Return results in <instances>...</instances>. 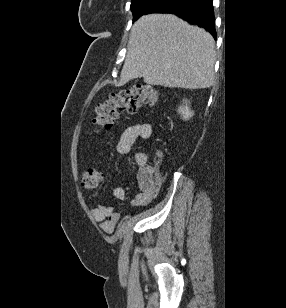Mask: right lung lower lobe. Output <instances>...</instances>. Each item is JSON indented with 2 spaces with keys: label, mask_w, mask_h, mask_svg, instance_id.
Here are the masks:
<instances>
[{
  "label": "right lung lower lobe",
  "mask_w": 286,
  "mask_h": 308,
  "mask_svg": "<svg viewBox=\"0 0 286 308\" xmlns=\"http://www.w3.org/2000/svg\"><path fill=\"white\" fill-rule=\"evenodd\" d=\"M151 13L176 14L188 22L207 29L216 39L213 0H169Z\"/></svg>",
  "instance_id": "1"
}]
</instances>
